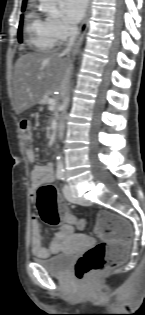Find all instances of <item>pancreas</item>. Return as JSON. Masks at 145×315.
<instances>
[{
    "mask_svg": "<svg viewBox=\"0 0 145 315\" xmlns=\"http://www.w3.org/2000/svg\"><path fill=\"white\" fill-rule=\"evenodd\" d=\"M41 103H42V104L49 103V99H48L47 97H44V98L41 100Z\"/></svg>",
    "mask_w": 145,
    "mask_h": 315,
    "instance_id": "obj_1",
    "label": "pancreas"
}]
</instances>
